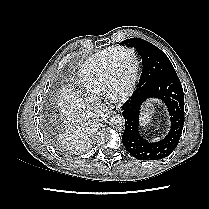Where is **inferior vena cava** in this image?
Instances as JSON below:
<instances>
[{"label":"inferior vena cava","instance_id":"obj_1","mask_svg":"<svg viewBox=\"0 0 209 209\" xmlns=\"http://www.w3.org/2000/svg\"><path fill=\"white\" fill-rule=\"evenodd\" d=\"M107 106L106 105H99V106H97V107H95V112L97 113V114H104L106 111H107Z\"/></svg>","mask_w":209,"mask_h":209}]
</instances>
